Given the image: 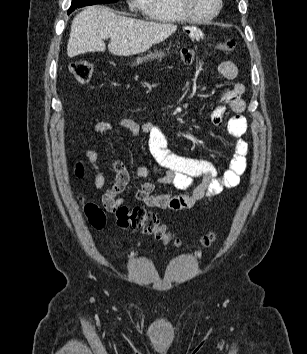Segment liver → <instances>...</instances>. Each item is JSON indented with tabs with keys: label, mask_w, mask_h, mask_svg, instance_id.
I'll list each match as a JSON object with an SVG mask.
<instances>
[{
	"label": "liver",
	"mask_w": 307,
	"mask_h": 354,
	"mask_svg": "<svg viewBox=\"0 0 307 354\" xmlns=\"http://www.w3.org/2000/svg\"><path fill=\"white\" fill-rule=\"evenodd\" d=\"M177 30L168 23L136 20L114 14L110 9L90 6L77 14L71 25L67 54L70 58L87 52L108 50L117 56L143 53Z\"/></svg>",
	"instance_id": "obj_1"
}]
</instances>
